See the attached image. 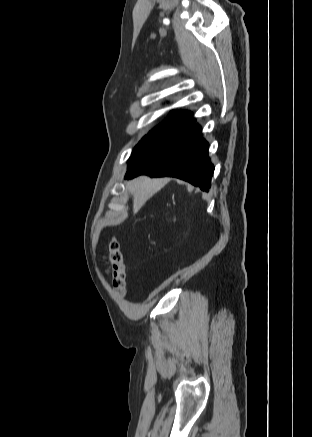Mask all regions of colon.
Wrapping results in <instances>:
<instances>
[{
  "instance_id": "5ec220e1",
  "label": "colon",
  "mask_w": 312,
  "mask_h": 437,
  "mask_svg": "<svg viewBox=\"0 0 312 437\" xmlns=\"http://www.w3.org/2000/svg\"><path fill=\"white\" fill-rule=\"evenodd\" d=\"M106 259L109 262V275L112 288L120 295H125L127 289V272L124 255L117 240L109 242Z\"/></svg>"
}]
</instances>
